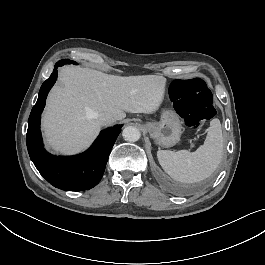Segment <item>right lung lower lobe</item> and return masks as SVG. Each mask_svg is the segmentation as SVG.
<instances>
[{"mask_svg": "<svg viewBox=\"0 0 265 265\" xmlns=\"http://www.w3.org/2000/svg\"><path fill=\"white\" fill-rule=\"evenodd\" d=\"M64 63V60L56 63L53 73L40 88L28 119L26 142L31 160L49 183L66 191H82L99 183L122 125L103 130L86 152L76 156L57 157L44 150L40 132L41 113L47 94L57 79V68Z\"/></svg>", "mask_w": 265, "mask_h": 265, "instance_id": "1", "label": "right lung lower lobe"}]
</instances>
